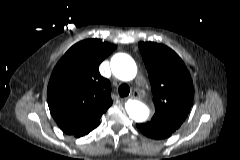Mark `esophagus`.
<instances>
[{
    "label": "esophagus",
    "mask_w": 240,
    "mask_h": 160,
    "mask_svg": "<svg viewBox=\"0 0 240 160\" xmlns=\"http://www.w3.org/2000/svg\"><path fill=\"white\" fill-rule=\"evenodd\" d=\"M131 99H139L140 98V94L137 90H134L131 95H130Z\"/></svg>",
    "instance_id": "esophagus-1"
}]
</instances>
